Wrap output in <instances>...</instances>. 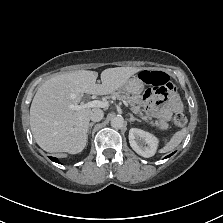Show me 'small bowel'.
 <instances>
[{
  "label": "small bowel",
  "mask_w": 223,
  "mask_h": 223,
  "mask_svg": "<svg viewBox=\"0 0 223 223\" xmlns=\"http://www.w3.org/2000/svg\"><path fill=\"white\" fill-rule=\"evenodd\" d=\"M145 110L157 120L159 128L166 129L167 123L174 112L183 109L173 87L155 86L142 95Z\"/></svg>",
  "instance_id": "small-bowel-1"
}]
</instances>
